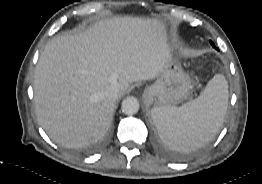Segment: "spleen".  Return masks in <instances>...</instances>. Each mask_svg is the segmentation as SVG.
I'll use <instances>...</instances> for the list:
<instances>
[{"mask_svg": "<svg viewBox=\"0 0 262 184\" xmlns=\"http://www.w3.org/2000/svg\"><path fill=\"white\" fill-rule=\"evenodd\" d=\"M228 96L227 80L216 74L196 99L180 107H154L151 115L163 143L186 152L212 140L223 125Z\"/></svg>", "mask_w": 262, "mask_h": 184, "instance_id": "obj_1", "label": "spleen"}]
</instances>
